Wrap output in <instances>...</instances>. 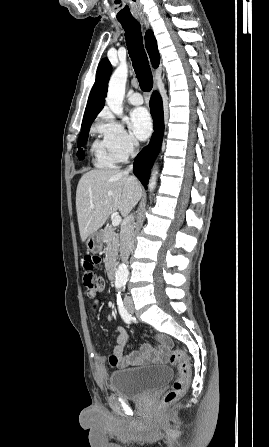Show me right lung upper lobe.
<instances>
[{
    "label": "right lung upper lobe",
    "instance_id": "cb5924a9",
    "mask_svg": "<svg viewBox=\"0 0 269 447\" xmlns=\"http://www.w3.org/2000/svg\"><path fill=\"white\" fill-rule=\"evenodd\" d=\"M145 44L153 66L157 67L159 65L160 55L157 49L156 39L151 30H148L145 34ZM111 73L112 67L109 60L107 58L102 59L97 69L95 84L89 95L82 126L92 123L104 107L105 95Z\"/></svg>",
    "mask_w": 269,
    "mask_h": 447
}]
</instances>
